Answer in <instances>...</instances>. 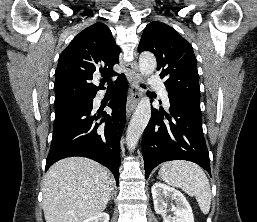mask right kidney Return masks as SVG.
Here are the masks:
<instances>
[{
  "mask_svg": "<svg viewBox=\"0 0 257 222\" xmlns=\"http://www.w3.org/2000/svg\"><path fill=\"white\" fill-rule=\"evenodd\" d=\"M83 222H109V214L105 212L99 213L88 219H85Z\"/></svg>",
  "mask_w": 257,
  "mask_h": 222,
  "instance_id": "obj_1",
  "label": "right kidney"
}]
</instances>
